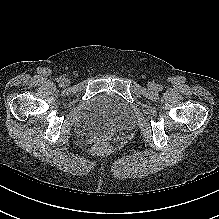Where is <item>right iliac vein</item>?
I'll return each instance as SVG.
<instances>
[{
	"label": "right iliac vein",
	"instance_id": "obj_1",
	"mask_svg": "<svg viewBox=\"0 0 219 219\" xmlns=\"http://www.w3.org/2000/svg\"><path fill=\"white\" fill-rule=\"evenodd\" d=\"M70 84V80L68 78H63L61 81L62 86H68Z\"/></svg>",
	"mask_w": 219,
	"mask_h": 219
}]
</instances>
